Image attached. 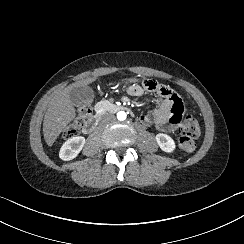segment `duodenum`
<instances>
[{"label": "duodenum", "instance_id": "obj_1", "mask_svg": "<svg viewBox=\"0 0 244 244\" xmlns=\"http://www.w3.org/2000/svg\"><path fill=\"white\" fill-rule=\"evenodd\" d=\"M115 109H116V110H121V111H123V110H126L127 107H126V105H124V104H116ZM100 114H101V109L99 108V109H98V112H97L92 118H90V119L88 120V122L85 124L84 131H85L86 133H91V132L93 131L94 126H95L94 121H95V119H97V117H98Z\"/></svg>", "mask_w": 244, "mask_h": 244}]
</instances>
